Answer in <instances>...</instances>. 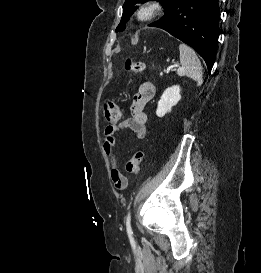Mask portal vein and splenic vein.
Segmentation results:
<instances>
[{"mask_svg":"<svg viewBox=\"0 0 261 273\" xmlns=\"http://www.w3.org/2000/svg\"><path fill=\"white\" fill-rule=\"evenodd\" d=\"M179 65H174V66H171V67H169L167 70H166V72L167 73H169L171 70H173L174 68H177Z\"/></svg>","mask_w":261,"mask_h":273,"instance_id":"obj_1","label":"portal vein and splenic vein"}]
</instances>
